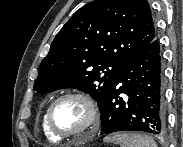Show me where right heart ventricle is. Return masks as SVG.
<instances>
[{"instance_id": "right-heart-ventricle-1", "label": "right heart ventricle", "mask_w": 183, "mask_h": 147, "mask_svg": "<svg viewBox=\"0 0 183 147\" xmlns=\"http://www.w3.org/2000/svg\"><path fill=\"white\" fill-rule=\"evenodd\" d=\"M42 129H43V132L45 134V136L50 140V141H54V142H57V141H60L61 139L56 137L47 127V124H46V113L43 115V119H42Z\"/></svg>"}]
</instances>
